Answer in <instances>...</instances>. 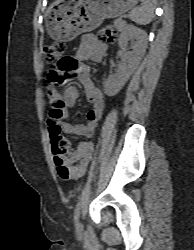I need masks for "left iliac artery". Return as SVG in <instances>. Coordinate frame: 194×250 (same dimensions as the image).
<instances>
[{
	"label": "left iliac artery",
	"instance_id": "obj_1",
	"mask_svg": "<svg viewBox=\"0 0 194 250\" xmlns=\"http://www.w3.org/2000/svg\"><path fill=\"white\" fill-rule=\"evenodd\" d=\"M80 206H81V202L79 201L76 205L75 212H74L75 225H77V222H78V218L80 214Z\"/></svg>",
	"mask_w": 194,
	"mask_h": 250
}]
</instances>
